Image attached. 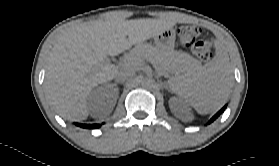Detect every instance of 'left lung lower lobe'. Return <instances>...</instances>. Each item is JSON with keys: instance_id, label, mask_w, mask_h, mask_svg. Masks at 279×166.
<instances>
[{"instance_id": "0a47b994", "label": "left lung lower lobe", "mask_w": 279, "mask_h": 166, "mask_svg": "<svg viewBox=\"0 0 279 166\" xmlns=\"http://www.w3.org/2000/svg\"><path fill=\"white\" fill-rule=\"evenodd\" d=\"M225 108L226 106H224L215 116H213L209 123L213 122L225 110Z\"/></svg>"}]
</instances>
